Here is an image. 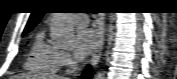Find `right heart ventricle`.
<instances>
[{"label": "right heart ventricle", "mask_w": 177, "mask_h": 79, "mask_svg": "<svg viewBox=\"0 0 177 79\" xmlns=\"http://www.w3.org/2000/svg\"><path fill=\"white\" fill-rule=\"evenodd\" d=\"M60 50L45 41L44 33L38 32L27 54L24 68L35 73L52 74L59 68Z\"/></svg>", "instance_id": "e07e8e85"}]
</instances>
